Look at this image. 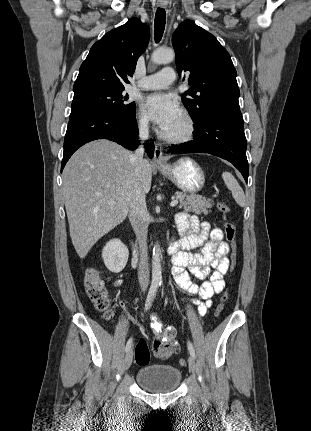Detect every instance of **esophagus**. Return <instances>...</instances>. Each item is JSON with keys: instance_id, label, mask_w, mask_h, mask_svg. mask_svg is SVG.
Instances as JSON below:
<instances>
[{"instance_id": "obj_1", "label": "esophagus", "mask_w": 311, "mask_h": 431, "mask_svg": "<svg viewBox=\"0 0 311 431\" xmlns=\"http://www.w3.org/2000/svg\"><path fill=\"white\" fill-rule=\"evenodd\" d=\"M163 8H166V5H160ZM152 163L155 165H164L167 163V159L163 156V146L161 143L155 144L154 156Z\"/></svg>"}]
</instances>
